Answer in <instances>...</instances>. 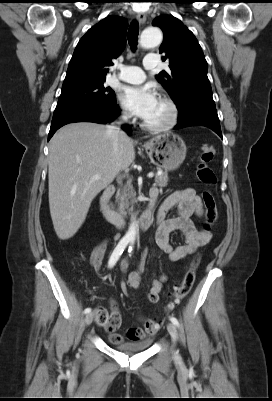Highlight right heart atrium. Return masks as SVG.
Listing matches in <instances>:
<instances>
[{
	"label": "right heart atrium",
	"instance_id": "d8ad5b80",
	"mask_svg": "<svg viewBox=\"0 0 272 401\" xmlns=\"http://www.w3.org/2000/svg\"><path fill=\"white\" fill-rule=\"evenodd\" d=\"M119 116L123 120H129L131 118V112L125 106H120Z\"/></svg>",
	"mask_w": 272,
	"mask_h": 401
}]
</instances>
